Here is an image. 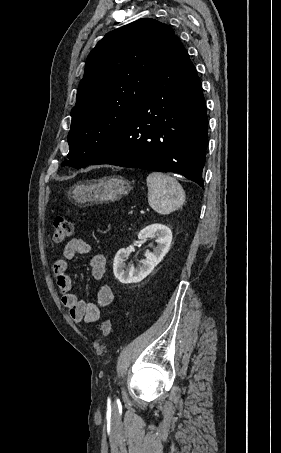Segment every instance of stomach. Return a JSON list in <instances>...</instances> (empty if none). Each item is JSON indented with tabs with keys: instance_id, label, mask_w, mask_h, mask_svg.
<instances>
[{
	"instance_id": "obj_1",
	"label": "stomach",
	"mask_w": 281,
	"mask_h": 453,
	"mask_svg": "<svg viewBox=\"0 0 281 453\" xmlns=\"http://www.w3.org/2000/svg\"><path fill=\"white\" fill-rule=\"evenodd\" d=\"M131 190L129 180L123 176H103L93 180H82L70 188L68 194L76 204H99V202H114L128 194Z\"/></svg>"
}]
</instances>
